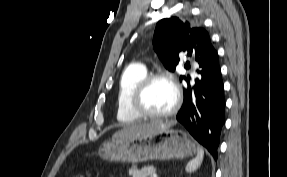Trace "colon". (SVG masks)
Wrapping results in <instances>:
<instances>
[{
  "label": "colon",
  "mask_w": 287,
  "mask_h": 177,
  "mask_svg": "<svg viewBox=\"0 0 287 177\" xmlns=\"http://www.w3.org/2000/svg\"><path fill=\"white\" fill-rule=\"evenodd\" d=\"M74 177H87L86 175H82V174H79V175H76Z\"/></svg>",
  "instance_id": "1"
}]
</instances>
